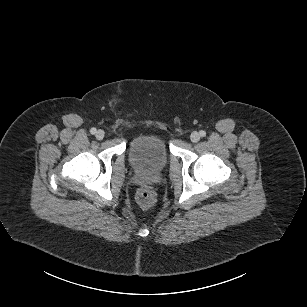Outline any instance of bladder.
I'll return each instance as SVG.
<instances>
[{"instance_id":"bladder-1","label":"bladder","mask_w":307,"mask_h":307,"mask_svg":"<svg viewBox=\"0 0 307 307\" xmlns=\"http://www.w3.org/2000/svg\"><path fill=\"white\" fill-rule=\"evenodd\" d=\"M170 156L167 141L156 134L137 136L129 147L131 165L140 172L154 173L163 169Z\"/></svg>"}]
</instances>
